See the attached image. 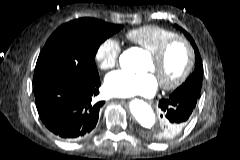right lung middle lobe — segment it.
<instances>
[{
    "label": "right lung middle lobe",
    "mask_w": 240,
    "mask_h": 160,
    "mask_svg": "<svg viewBox=\"0 0 240 160\" xmlns=\"http://www.w3.org/2000/svg\"><path fill=\"white\" fill-rule=\"evenodd\" d=\"M120 25L93 18H79L61 25L47 40L34 70V86L51 78L89 84L99 79L94 57L108 37Z\"/></svg>",
    "instance_id": "dd1d6c3e"
}]
</instances>
